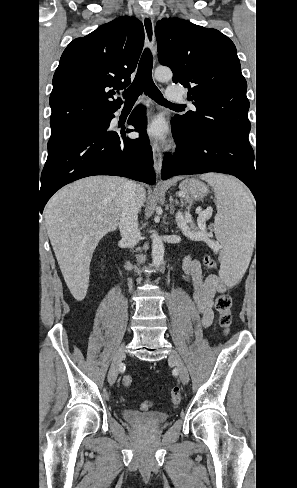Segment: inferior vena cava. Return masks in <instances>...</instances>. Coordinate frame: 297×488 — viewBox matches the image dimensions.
I'll return each mask as SVG.
<instances>
[{"instance_id": "602c4592", "label": "inferior vena cava", "mask_w": 297, "mask_h": 488, "mask_svg": "<svg viewBox=\"0 0 297 488\" xmlns=\"http://www.w3.org/2000/svg\"><path fill=\"white\" fill-rule=\"evenodd\" d=\"M138 205L137 185L132 181H127L121 196L119 229L122 242L129 248L134 247L141 237L138 230Z\"/></svg>"}]
</instances>
